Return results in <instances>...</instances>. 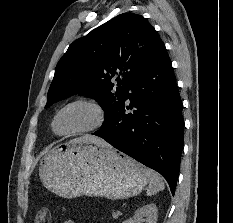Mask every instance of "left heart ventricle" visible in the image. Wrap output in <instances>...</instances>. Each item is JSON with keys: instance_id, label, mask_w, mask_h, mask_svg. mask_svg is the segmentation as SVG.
<instances>
[{"instance_id": "left-heart-ventricle-1", "label": "left heart ventricle", "mask_w": 233, "mask_h": 223, "mask_svg": "<svg viewBox=\"0 0 233 223\" xmlns=\"http://www.w3.org/2000/svg\"><path fill=\"white\" fill-rule=\"evenodd\" d=\"M98 121V113L92 106L74 104L60 114L56 128L60 133H73L93 128Z\"/></svg>"}]
</instances>
